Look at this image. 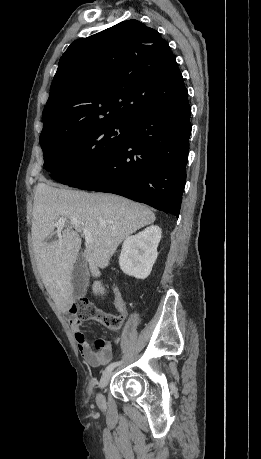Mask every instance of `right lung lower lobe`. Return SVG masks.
Listing matches in <instances>:
<instances>
[{
	"label": "right lung lower lobe",
	"mask_w": 261,
	"mask_h": 459,
	"mask_svg": "<svg viewBox=\"0 0 261 459\" xmlns=\"http://www.w3.org/2000/svg\"><path fill=\"white\" fill-rule=\"evenodd\" d=\"M191 107L185 89L172 103L133 122L122 148L77 181L179 216L186 181Z\"/></svg>",
	"instance_id": "right-lung-lower-lobe-1"
}]
</instances>
